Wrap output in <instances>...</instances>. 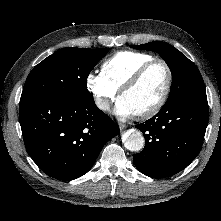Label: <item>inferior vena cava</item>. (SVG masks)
<instances>
[{"label": "inferior vena cava", "instance_id": "inferior-vena-cava-1", "mask_svg": "<svg viewBox=\"0 0 221 221\" xmlns=\"http://www.w3.org/2000/svg\"><path fill=\"white\" fill-rule=\"evenodd\" d=\"M97 106L102 109V110H107L108 109V103L104 101L103 99L99 98L97 99Z\"/></svg>", "mask_w": 221, "mask_h": 221}]
</instances>
